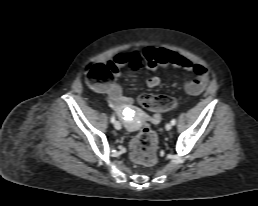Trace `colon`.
Returning a JSON list of instances; mask_svg holds the SVG:
<instances>
[{
	"instance_id": "1",
	"label": "colon",
	"mask_w": 258,
	"mask_h": 206,
	"mask_svg": "<svg viewBox=\"0 0 258 206\" xmlns=\"http://www.w3.org/2000/svg\"><path fill=\"white\" fill-rule=\"evenodd\" d=\"M141 65L139 57L132 60V66L137 68ZM88 82L95 86H101L111 81L110 69L104 64L91 65L86 69ZM140 104L153 111H168L174 107V100L167 96H155L143 94L139 97ZM158 138L156 133L149 127H144L132 140L130 155L133 162L143 166H151L157 160Z\"/></svg>"
}]
</instances>
